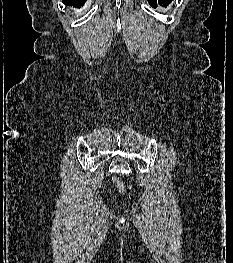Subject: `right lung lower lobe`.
Returning <instances> with one entry per match:
<instances>
[{
    "label": "right lung lower lobe",
    "instance_id": "1",
    "mask_svg": "<svg viewBox=\"0 0 233 263\" xmlns=\"http://www.w3.org/2000/svg\"><path fill=\"white\" fill-rule=\"evenodd\" d=\"M64 4L74 7L82 6L86 0H62Z\"/></svg>",
    "mask_w": 233,
    "mask_h": 263
}]
</instances>
